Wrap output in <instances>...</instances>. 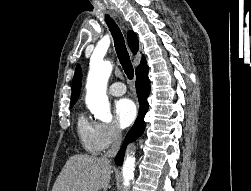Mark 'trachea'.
<instances>
[{
  "label": "trachea",
  "mask_w": 251,
  "mask_h": 191,
  "mask_svg": "<svg viewBox=\"0 0 251 191\" xmlns=\"http://www.w3.org/2000/svg\"><path fill=\"white\" fill-rule=\"evenodd\" d=\"M105 22L107 23V26L111 32V35L114 39V46L116 48V53L119 58V61L122 65L123 70L125 71V74L129 78V80L133 79L134 69L133 65L130 60L129 53L127 51L124 37L122 35L121 30L119 29L118 25L114 22V20L106 15Z\"/></svg>",
  "instance_id": "obj_1"
}]
</instances>
